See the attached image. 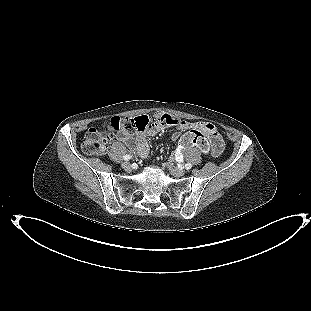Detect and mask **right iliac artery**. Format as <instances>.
I'll return each mask as SVG.
<instances>
[{"label": "right iliac artery", "mask_w": 311, "mask_h": 311, "mask_svg": "<svg viewBox=\"0 0 311 311\" xmlns=\"http://www.w3.org/2000/svg\"><path fill=\"white\" fill-rule=\"evenodd\" d=\"M123 158H124V160H130L131 156L130 155H124Z\"/></svg>", "instance_id": "82829eb1"}]
</instances>
